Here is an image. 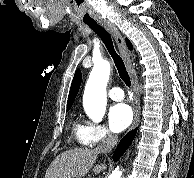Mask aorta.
<instances>
[{"label":"aorta","mask_w":194,"mask_h":178,"mask_svg":"<svg viewBox=\"0 0 194 178\" xmlns=\"http://www.w3.org/2000/svg\"><path fill=\"white\" fill-rule=\"evenodd\" d=\"M111 66L106 60L100 61L93 66L87 81L83 106L87 116L94 122H100L106 109V86L109 80ZM122 171L116 167L109 178H121Z\"/></svg>","instance_id":"obj_1"}]
</instances>
